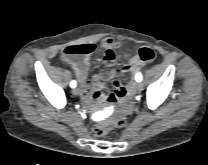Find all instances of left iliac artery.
<instances>
[{
  "instance_id": "44dca946",
  "label": "left iliac artery",
  "mask_w": 208,
  "mask_h": 165,
  "mask_svg": "<svg viewBox=\"0 0 208 165\" xmlns=\"http://www.w3.org/2000/svg\"><path fill=\"white\" fill-rule=\"evenodd\" d=\"M136 81L140 82L142 80V74L138 73L135 77Z\"/></svg>"
}]
</instances>
